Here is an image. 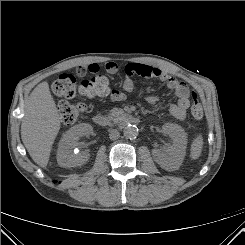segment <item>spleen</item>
<instances>
[{
  "instance_id": "3e777b00",
  "label": "spleen",
  "mask_w": 245,
  "mask_h": 245,
  "mask_svg": "<svg viewBox=\"0 0 245 245\" xmlns=\"http://www.w3.org/2000/svg\"><path fill=\"white\" fill-rule=\"evenodd\" d=\"M202 145H203L202 136L198 135L197 138L193 141L191 147V156L193 159H196L200 156Z\"/></svg>"
}]
</instances>
